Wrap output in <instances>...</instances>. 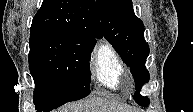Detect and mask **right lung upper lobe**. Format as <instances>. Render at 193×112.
I'll list each match as a JSON object with an SVG mask.
<instances>
[{
	"instance_id": "1",
	"label": "right lung upper lobe",
	"mask_w": 193,
	"mask_h": 112,
	"mask_svg": "<svg viewBox=\"0 0 193 112\" xmlns=\"http://www.w3.org/2000/svg\"><path fill=\"white\" fill-rule=\"evenodd\" d=\"M31 34L54 32L102 37L95 0H44L33 18ZM96 41V40H95Z\"/></svg>"
}]
</instances>
